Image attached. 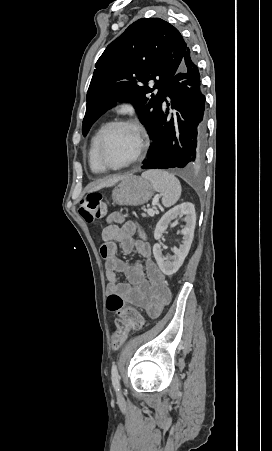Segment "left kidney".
<instances>
[{
    "instance_id": "5707ae66",
    "label": "left kidney",
    "mask_w": 272,
    "mask_h": 451,
    "mask_svg": "<svg viewBox=\"0 0 272 451\" xmlns=\"http://www.w3.org/2000/svg\"><path fill=\"white\" fill-rule=\"evenodd\" d=\"M178 216H186V226L181 229V233H184L182 237L183 241L180 247H174V255H166L165 257L162 253L161 243H154L153 245L154 257L161 271H163L165 275H172V273H176V271H178L191 247L196 224V214L193 204H190V202H184V204L175 206V208H172V210L166 212V214L162 216L161 220H159L154 231L155 239H160L163 235V231L167 229L171 220L178 218Z\"/></svg>"
}]
</instances>
